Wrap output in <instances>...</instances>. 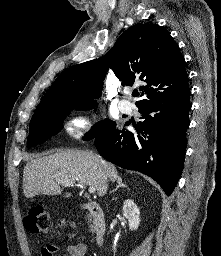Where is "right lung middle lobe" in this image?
Listing matches in <instances>:
<instances>
[{
  "label": "right lung middle lobe",
  "mask_w": 221,
  "mask_h": 256,
  "mask_svg": "<svg viewBox=\"0 0 221 256\" xmlns=\"http://www.w3.org/2000/svg\"><path fill=\"white\" fill-rule=\"evenodd\" d=\"M96 103L90 102H68L65 99H59L37 108L30 122V132L27 139V147H33L44 142L52 135H56L62 128V123L71 110L74 109H92ZM115 122L105 119L96 123L92 129L84 136L85 140L93 139L108 131Z\"/></svg>",
  "instance_id": "obj_1"
}]
</instances>
